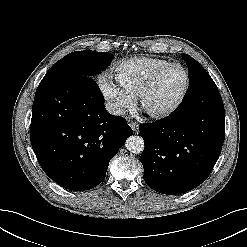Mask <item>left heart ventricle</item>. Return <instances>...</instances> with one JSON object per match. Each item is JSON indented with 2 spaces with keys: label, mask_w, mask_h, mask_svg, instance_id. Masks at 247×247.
Instances as JSON below:
<instances>
[{
  "label": "left heart ventricle",
  "mask_w": 247,
  "mask_h": 247,
  "mask_svg": "<svg viewBox=\"0 0 247 247\" xmlns=\"http://www.w3.org/2000/svg\"><path fill=\"white\" fill-rule=\"evenodd\" d=\"M185 76L182 69L173 67L165 71L144 98L147 110L157 111L168 107L183 89Z\"/></svg>",
  "instance_id": "1"
}]
</instances>
